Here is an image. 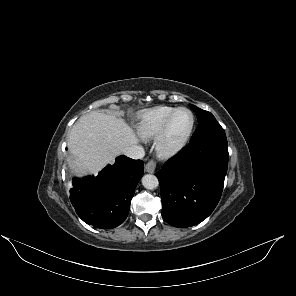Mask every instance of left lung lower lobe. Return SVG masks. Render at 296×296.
<instances>
[{
    "mask_svg": "<svg viewBox=\"0 0 296 296\" xmlns=\"http://www.w3.org/2000/svg\"><path fill=\"white\" fill-rule=\"evenodd\" d=\"M226 137L189 144L156 173L162 216L175 227L194 226L218 204L228 167Z\"/></svg>",
    "mask_w": 296,
    "mask_h": 296,
    "instance_id": "0a47b994",
    "label": "left lung lower lobe"
}]
</instances>
